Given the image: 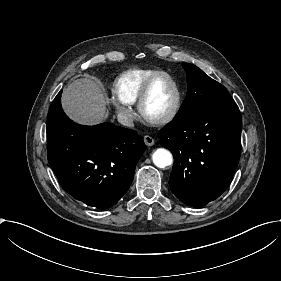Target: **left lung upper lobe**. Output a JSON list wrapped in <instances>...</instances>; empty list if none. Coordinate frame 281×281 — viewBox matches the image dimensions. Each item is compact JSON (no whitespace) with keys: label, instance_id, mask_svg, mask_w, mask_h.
<instances>
[{"label":"left lung upper lobe","instance_id":"1","mask_svg":"<svg viewBox=\"0 0 281 281\" xmlns=\"http://www.w3.org/2000/svg\"><path fill=\"white\" fill-rule=\"evenodd\" d=\"M187 74L186 98L174 119L199 111L235 104L226 88L206 75L201 69L183 63Z\"/></svg>","mask_w":281,"mask_h":281}]
</instances>
